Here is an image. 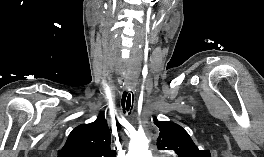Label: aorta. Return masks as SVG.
Masks as SVG:
<instances>
[{
	"instance_id": "obj_1",
	"label": "aorta",
	"mask_w": 264,
	"mask_h": 157,
	"mask_svg": "<svg viewBox=\"0 0 264 157\" xmlns=\"http://www.w3.org/2000/svg\"><path fill=\"white\" fill-rule=\"evenodd\" d=\"M148 142L145 135H135L129 145V157H151L148 150Z\"/></svg>"
}]
</instances>
